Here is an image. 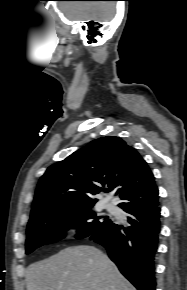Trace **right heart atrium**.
Returning a JSON list of instances; mask_svg holds the SVG:
<instances>
[{
    "label": "right heart atrium",
    "instance_id": "1",
    "mask_svg": "<svg viewBox=\"0 0 187 290\" xmlns=\"http://www.w3.org/2000/svg\"><path fill=\"white\" fill-rule=\"evenodd\" d=\"M83 226L80 221H72L67 225L66 232L69 237H76L82 232Z\"/></svg>",
    "mask_w": 187,
    "mask_h": 290
}]
</instances>
